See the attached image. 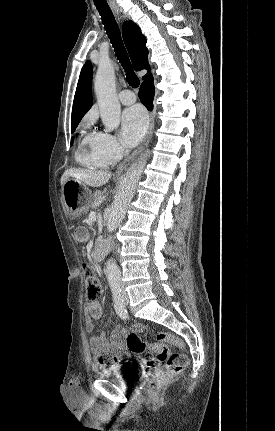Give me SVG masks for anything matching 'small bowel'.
Wrapping results in <instances>:
<instances>
[{"mask_svg":"<svg viewBox=\"0 0 275 431\" xmlns=\"http://www.w3.org/2000/svg\"><path fill=\"white\" fill-rule=\"evenodd\" d=\"M75 238L79 242H85L88 239V234L84 229L79 228L75 231ZM102 313L103 306L99 301H91L85 306V326L86 330L91 333L90 349L97 358L102 355H109L111 356V362H116L121 359L126 350L125 342L118 328L114 329L110 335H107L104 331L97 335L93 333L95 320L99 319ZM134 330L142 332L143 326L135 325Z\"/></svg>","mask_w":275,"mask_h":431,"instance_id":"c3829d8e","label":"small bowel"}]
</instances>
